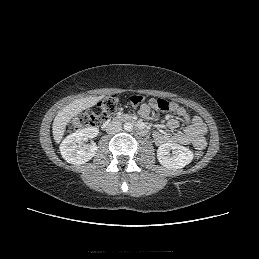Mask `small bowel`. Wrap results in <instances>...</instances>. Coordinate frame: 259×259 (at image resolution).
I'll return each instance as SVG.
<instances>
[{
	"instance_id": "small-bowel-1",
	"label": "small bowel",
	"mask_w": 259,
	"mask_h": 259,
	"mask_svg": "<svg viewBox=\"0 0 259 259\" xmlns=\"http://www.w3.org/2000/svg\"><path fill=\"white\" fill-rule=\"evenodd\" d=\"M175 112L180 116L184 122V129L182 132H177L179 127V121L175 118H171L166 123V128L171 133H166L163 130H156L153 133L155 142L162 145L167 142L178 143L183 145L192 144L196 149H204L206 147V133L207 127L199 116H190L187 111L179 106ZM152 111L146 108H141L139 114L141 117L148 119L152 115Z\"/></svg>"
}]
</instances>
